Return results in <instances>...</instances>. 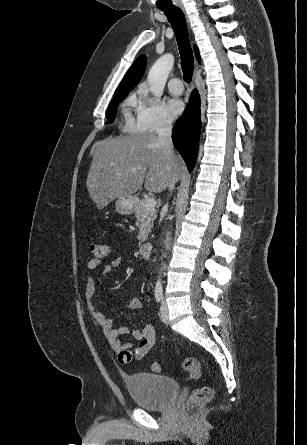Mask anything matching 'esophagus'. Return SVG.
Segmentation results:
<instances>
[{"mask_svg":"<svg viewBox=\"0 0 307 445\" xmlns=\"http://www.w3.org/2000/svg\"><path fill=\"white\" fill-rule=\"evenodd\" d=\"M176 7L180 8V10H182V12L185 13V7H184L183 3H177ZM197 72H198V64L196 65L194 75H193V79H194L193 87L195 86V79H196Z\"/></svg>","mask_w":307,"mask_h":445,"instance_id":"34e87169","label":"esophagus"}]
</instances>
